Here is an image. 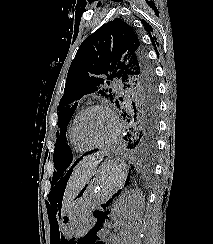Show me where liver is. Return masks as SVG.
<instances>
[{
	"instance_id": "6515ba94",
	"label": "liver",
	"mask_w": 213,
	"mask_h": 244,
	"mask_svg": "<svg viewBox=\"0 0 213 244\" xmlns=\"http://www.w3.org/2000/svg\"><path fill=\"white\" fill-rule=\"evenodd\" d=\"M103 152H98L85 156L73 169L72 174L67 182L66 190L63 197L62 212L64 213L71 201L83 188V186L93 176L95 169L99 164V159Z\"/></svg>"
}]
</instances>
